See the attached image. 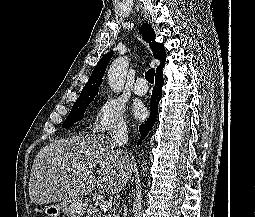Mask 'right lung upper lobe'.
Instances as JSON below:
<instances>
[{"mask_svg": "<svg viewBox=\"0 0 255 217\" xmlns=\"http://www.w3.org/2000/svg\"><path fill=\"white\" fill-rule=\"evenodd\" d=\"M140 33L143 35L144 40L149 43L154 57L161 62V64L156 69V74L162 72V68L166 60L164 45L162 43L155 42V32L149 24H143L140 28ZM112 56L113 52L111 51L101 58V60L95 66L88 82L82 89L81 94L94 93L98 91V87L102 83V78L104 76L107 64Z\"/></svg>", "mask_w": 255, "mask_h": 217, "instance_id": "right-lung-upper-lobe-1", "label": "right lung upper lobe"}]
</instances>
